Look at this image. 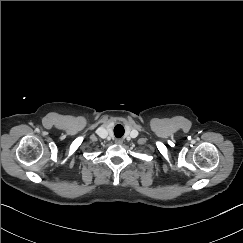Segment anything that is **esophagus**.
I'll return each mask as SVG.
<instances>
[{"instance_id": "1", "label": "esophagus", "mask_w": 243, "mask_h": 243, "mask_svg": "<svg viewBox=\"0 0 243 243\" xmlns=\"http://www.w3.org/2000/svg\"><path fill=\"white\" fill-rule=\"evenodd\" d=\"M115 143L121 145L122 144V139H120V138L116 139Z\"/></svg>"}]
</instances>
